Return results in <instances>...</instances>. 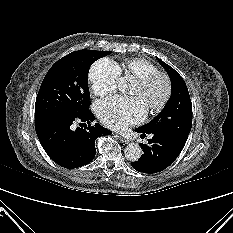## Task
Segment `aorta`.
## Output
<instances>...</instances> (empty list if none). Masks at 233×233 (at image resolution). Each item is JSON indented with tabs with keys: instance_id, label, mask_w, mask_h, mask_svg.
<instances>
[{
	"instance_id": "obj_1",
	"label": "aorta",
	"mask_w": 233,
	"mask_h": 233,
	"mask_svg": "<svg viewBox=\"0 0 233 233\" xmlns=\"http://www.w3.org/2000/svg\"><path fill=\"white\" fill-rule=\"evenodd\" d=\"M128 82L129 81L127 78H121L118 82L119 91L126 92L129 87ZM124 154H125L126 159H128L129 161L135 162V161H138L139 158L141 157L142 150L137 143H129L125 147Z\"/></svg>"
}]
</instances>
